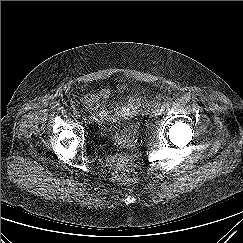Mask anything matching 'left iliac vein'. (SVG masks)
<instances>
[{
    "label": "left iliac vein",
    "instance_id": "obj_1",
    "mask_svg": "<svg viewBox=\"0 0 243 243\" xmlns=\"http://www.w3.org/2000/svg\"><path fill=\"white\" fill-rule=\"evenodd\" d=\"M153 113L155 116H160L162 114V111L160 109H155Z\"/></svg>",
    "mask_w": 243,
    "mask_h": 243
}]
</instances>
